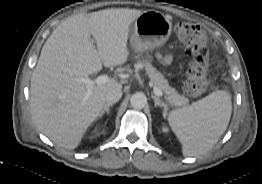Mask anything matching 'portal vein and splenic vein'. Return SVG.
<instances>
[{"mask_svg": "<svg viewBox=\"0 0 262 184\" xmlns=\"http://www.w3.org/2000/svg\"><path fill=\"white\" fill-rule=\"evenodd\" d=\"M80 81L86 84V86L88 88L87 94H90L91 89L95 84H105V83L110 81V78L107 75L104 74V75H99L94 79L81 78ZM153 91H154V94L157 95V96L163 95V92L156 87H154Z\"/></svg>", "mask_w": 262, "mask_h": 184, "instance_id": "obj_1", "label": "portal vein and splenic vein"}]
</instances>
